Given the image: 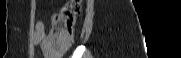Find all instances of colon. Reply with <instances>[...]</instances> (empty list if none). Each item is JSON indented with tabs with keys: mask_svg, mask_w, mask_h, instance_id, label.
Segmentation results:
<instances>
[{
	"mask_svg": "<svg viewBox=\"0 0 181 58\" xmlns=\"http://www.w3.org/2000/svg\"><path fill=\"white\" fill-rule=\"evenodd\" d=\"M80 12V2L71 0L53 15L52 31L46 39V47L58 54L64 53L73 43L74 27Z\"/></svg>",
	"mask_w": 181,
	"mask_h": 58,
	"instance_id": "5ec220e1",
	"label": "colon"
}]
</instances>
